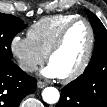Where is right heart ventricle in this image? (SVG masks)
<instances>
[{
	"instance_id": "e07e8e85",
	"label": "right heart ventricle",
	"mask_w": 107,
	"mask_h": 107,
	"mask_svg": "<svg viewBox=\"0 0 107 107\" xmlns=\"http://www.w3.org/2000/svg\"><path fill=\"white\" fill-rule=\"evenodd\" d=\"M76 18L77 16L72 14L43 17L31 25L28 30V37L46 56L63 27Z\"/></svg>"
}]
</instances>
